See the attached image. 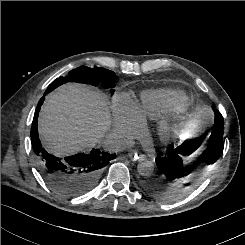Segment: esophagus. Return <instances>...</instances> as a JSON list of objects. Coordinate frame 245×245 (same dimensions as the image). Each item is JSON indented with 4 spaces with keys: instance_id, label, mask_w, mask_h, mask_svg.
<instances>
[{
    "instance_id": "34e87169",
    "label": "esophagus",
    "mask_w": 245,
    "mask_h": 245,
    "mask_svg": "<svg viewBox=\"0 0 245 245\" xmlns=\"http://www.w3.org/2000/svg\"><path fill=\"white\" fill-rule=\"evenodd\" d=\"M128 156L132 161L141 162L146 159V156L144 154H138L137 152L134 151L129 152Z\"/></svg>"
}]
</instances>
